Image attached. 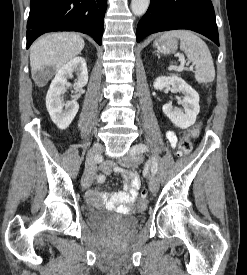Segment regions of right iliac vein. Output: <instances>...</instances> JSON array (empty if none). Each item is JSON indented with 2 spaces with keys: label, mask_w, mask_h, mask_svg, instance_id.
Listing matches in <instances>:
<instances>
[{
  "label": "right iliac vein",
  "mask_w": 247,
  "mask_h": 275,
  "mask_svg": "<svg viewBox=\"0 0 247 275\" xmlns=\"http://www.w3.org/2000/svg\"><path fill=\"white\" fill-rule=\"evenodd\" d=\"M103 151L102 146H94L90 149L86 157V167L85 172L81 179V185L83 188H88L93 182L95 177V155L101 154Z\"/></svg>",
  "instance_id": "1"
}]
</instances>
